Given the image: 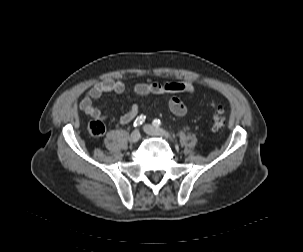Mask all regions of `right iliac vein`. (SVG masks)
Returning <instances> with one entry per match:
<instances>
[{"label": "right iliac vein", "instance_id": "right-iliac-vein-1", "mask_svg": "<svg viewBox=\"0 0 303 252\" xmlns=\"http://www.w3.org/2000/svg\"><path fill=\"white\" fill-rule=\"evenodd\" d=\"M139 139H140V132H139V130H134L131 133L130 137H129V141L131 143H136V142H138Z\"/></svg>", "mask_w": 303, "mask_h": 252}]
</instances>
